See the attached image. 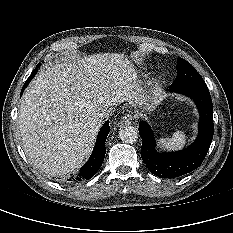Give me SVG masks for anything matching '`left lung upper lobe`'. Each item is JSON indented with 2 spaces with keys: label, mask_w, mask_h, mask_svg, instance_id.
<instances>
[{
  "label": "left lung upper lobe",
  "mask_w": 233,
  "mask_h": 233,
  "mask_svg": "<svg viewBox=\"0 0 233 233\" xmlns=\"http://www.w3.org/2000/svg\"><path fill=\"white\" fill-rule=\"evenodd\" d=\"M183 85H206V83L189 62L178 57L177 76L170 87L173 88Z\"/></svg>",
  "instance_id": "obj_1"
}]
</instances>
